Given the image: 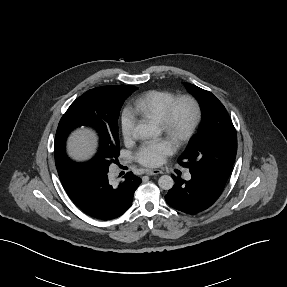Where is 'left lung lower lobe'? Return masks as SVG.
I'll use <instances>...</instances> for the list:
<instances>
[{
	"label": "left lung lower lobe",
	"instance_id": "obj_1",
	"mask_svg": "<svg viewBox=\"0 0 287 287\" xmlns=\"http://www.w3.org/2000/svg\"><path fill=\"white\" fill-rule=\"evenodd\" d=\"M190 173L189 181L172 175L175 184L165 195V200L181 212L196 214L209 208L219 198L226 182L197 170Z\"/></svg>",
	"mask_w": 287,
	"mask_h": 287
}]
</instances>
